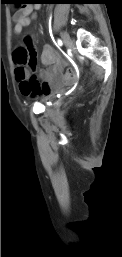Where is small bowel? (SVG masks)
I'll list each match as a JSON object with an SVG mask.
<instances>
[{
    "label": "small bowel",
    "instance_id": "c3829d8e",
    "mask_svg": "<svg viewBox=\"0 0 122 257\" xmlns=\"http://www.w3.org/2000/svg\"><path fill=\"white\" fill-rule=\"evenodd\" d=\"M33 6H25L15 13L14 33L20 35L24 27L28 26L36 15ZM41 62L45 66L51 68L40 70L38 76H33L30 72L19 66L15 69V75L19 82V87L22 95L26 97H46L52 92V84L57 85L64 80V62L59 58L56 51L50 45H47L42 54Z\"/></svg>",
    "mask_w": 122,
    "mask_h": 257
}]
</instances>
